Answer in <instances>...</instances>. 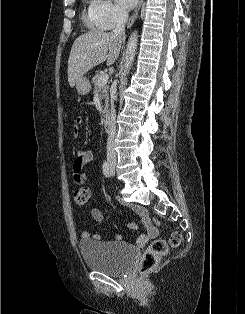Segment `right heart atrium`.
<instances>
[{
    "instance_id": "1",
    "label": "right heart atrium",
    "mask_w": 245,
    "mask_h": 314,
    "mask_svg": "<svg viewBox=\"0 0 245 314\" xmlns=\"http://www.w3.org/2000/svg\"><path fill=\"white\" fill-rule=\"evenodd\" d=\"M89 13L92 26L100 31H108L123 23L126 13L111 0H91Z\"/></svg>"
}]
</instances>
